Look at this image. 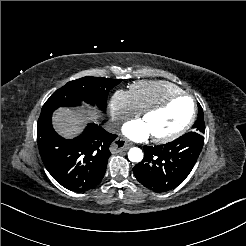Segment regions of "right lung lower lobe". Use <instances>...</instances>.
I'll return each mask as SVG.
<instances>
[{"mask_svg": "<svg viewBox=\"0 0 246 246\" xmlns=\"http://www.w3.org/2000/svg\"><path fill=\"white\" fill-rule=\"evenodd\" d=\"M52 112L41 113L37 122L39 152L49 173L74 192L92 189L102 180L111 153L109 146L117 137L102 127L89 124L73 140L59 136L51 124Z\"/></svg>", "mask_w": 246, "mask_h": 246, "instance_id": "right-lung-lower-lobe-1", "label": "right lung lower lobe"}]
</instances>
